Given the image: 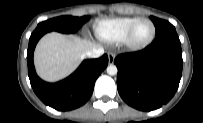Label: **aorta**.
I'll list each match as a JSON object with an SVG mask.
<instances>
[{
  "instance_id": "aorta-1",
  "label": "aorta",
  "mask_w": 203,
  "mask_h": 123,
  "mask_svg": "<svg viewBox=\"0 0 203 123\" xmlns=\"http://www.w3.org/2000/svg\"><path fill=\"white\" fill-rule=\"evenodd\" d=\"M117 67L115 66V65H113V64H111V65H109L108 67H107V73L109 74V75H116L117 74Z\"/></svg>"
}]
</instances>
